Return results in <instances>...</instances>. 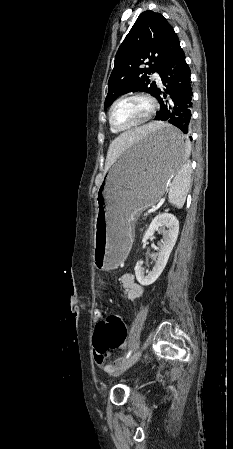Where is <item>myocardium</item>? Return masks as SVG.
<instances>
[{
	"mask_svg": "<svg viewBox=\"0 0 233 449\" xmlns=\"http://www.w3.org/2000/svg\"><path fill=\"white\" fill-rule=\"evenodd\" d=\"M132 97L143 99L148 104V113L146 114V116L142 120H140V121H138V122H136L134 124H131V125H128V126H123V127L122 126H117L113 122V120H112V112H113L114 107L120 101H122V100H124L126 98H132ZM155 111H156L155 100L149 94L144 93V92H129V93L121 95L120 97H118L111 104V106L109 108V112H108V121H109V124H110L112 129H114V130H116L118 132L128 131V130H132V129L138 128V127L148 123L151 120V118L153 117Z\"/></svg>",
	"mask_w": 233,
	"mask_h": 449,
	"instance_id": "myocardium-1",
	"label": "myocardium"
}]
</instances>
